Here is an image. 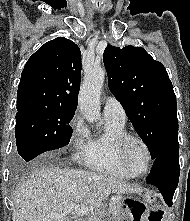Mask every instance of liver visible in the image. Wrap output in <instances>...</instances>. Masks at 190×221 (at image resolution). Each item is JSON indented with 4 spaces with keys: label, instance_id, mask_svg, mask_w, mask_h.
Returning a JSON list of instances; mask_svg holds the SVG:
<instances>
[{
    "label": "liver",
    "instance_id": "1",
    "mask_svg": "<svg viewBox=\"0 0 190 221\" xmlns=\"http://www.w3.org/2000/svg\"><path fill=\"white\" fill-rule=\"evenodd\" d=\"M139 192L138 187L107 174L34 167L14 192L12 220L70 221L52 215L63 213L71 204L100 208L111 193Z\"/></svg>",
    "mask_w": 190,
    "mask_h": 221
}]
</instances>
